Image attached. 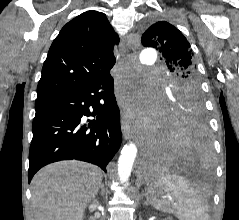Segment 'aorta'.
<instances>
[{
	"mask_svg": "<svg viewBox=\"0 0 239 220\" xmlns=\"http://www.w3.org/2000/svg\"><path fill=\"white\" fill-rule=\"evenodd\" d=\"M139 55L140 64H156L155 58L157 56V51L155 48H143V51H140ZM140 67L139 65V68ZM136 155L137 147L134 143L130 142L123 147L118 160V176L121 183H125L129 180Z\"/></svg>",
	"mask_w": 239,
	"mask_h": 220,
	"instance_id": "aorta-1",
	"label": "aorta"
}]
</instances>
